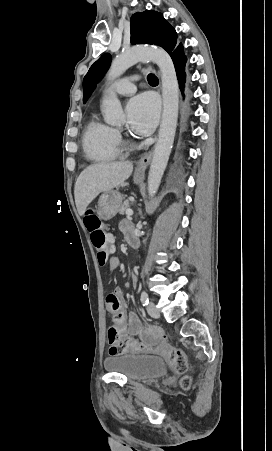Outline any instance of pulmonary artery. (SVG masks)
I'll return each instance as SVG.
<instances>
[{
  "label": "pulmonary artery",
  "instance_id": "1",
  "mask_svg": "<svg viewBox=\"0 0 272 451\" xmlns=\"http://www.w3.org/2000/svg\"><path fill=\"white\" fill-rule=\"evenodd\" d=\"M138 77H127L123 79H119L116 83L113 84L112 90L116 94L129 96L135 93L136 87L133 83Z\"/></svg>",
  "mask_w": 272,
  "mask_h": 451
}]
</instances>
